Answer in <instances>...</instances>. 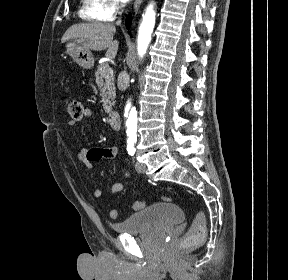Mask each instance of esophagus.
Wrapping results in <instances>:
<instances>
[{"label": "esophagus", "instance_id": "1", "mask_svg": "<svg viewBox=\"0 0 288 280\" xmlns=\"http://www.w3.org/2000/svg\"><path fill=\"white\" fill-rule=\"evenodd\" d=\"M143 0H136L135 3H134V11L136 12L139 7L141 6Z\"/></svg>", "mask_w": 288, "mask_h": 280}]
</instances>
